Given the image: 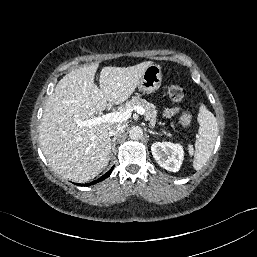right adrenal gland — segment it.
I'll use <instances>...</instances> for the list:
<instances>
[{
	"label": "right adrenal gland",
	"mask_w": 257,
	"mask_h": 257,
	"mask_svg": "<svg viewBox=\"0 0 257 257\" xmlns=\"http://www.w3.org/2000/svg\"><path fill=\"white\" fill-rule=\"evenodd\" d=\"M116 139H117V137H114V138L111 140V143H112V153H111V157H112L113 152H114L115 147H116Z\"/></svg>",
	"instance_id": "obj_1"
}]
</instances>
